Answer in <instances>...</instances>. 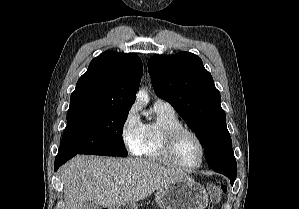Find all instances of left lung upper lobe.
<instances>
[{"mask_svg":"<svg viewBox=\"0 0 299 209\" xmlns=\"http://www.w3.org/2000/svg\"><path fill=\"white\" fill-rule=\"evenodd\" d=\"M148 71L158 97L168 101L205 149L209 167L232 150L220 93L202 60L189 52L154 55Z\"/></svg>","mask_w":299,"mask_h":209,"instance_id":"obj_1","label":"left lung upper lobe"}]
</instances>
